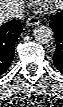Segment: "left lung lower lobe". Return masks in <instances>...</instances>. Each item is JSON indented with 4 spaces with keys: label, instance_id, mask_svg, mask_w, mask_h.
I'll return each mask as SVG.
<instances>
[{
    "label": "left lung lower lobe",
    "instance_id": "obj_1",
    "mask_svg": "<svg viewBox=\"0 0 63 107\" xmlns=\"http://www.w3.org/2000/svg\"><path fill=\"white\" fill-rule=\"evenodd\" d=\"M50 26L56 39V51L53 56L54 65L63 74V11L50 17Z\"/></svg>",
    "mask_w": 63,
    "mask_h": 107
}]
</instances>
